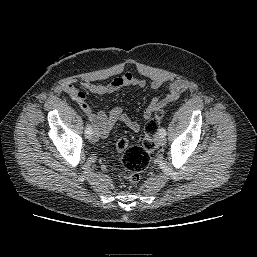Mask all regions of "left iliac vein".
<instances>
[{
	"instance_id": "left-iliac-vein-1",
	"label": "left iliac vein",
	"mask_w": 257,
	"mask_h": 257,
	"mask_svg": "<svg viewBox=\"0 0 257 257\" xmlns=\"http://www.w3.org/2000/svg\"><path fill=\"white\" fill-rule=\"evenodd\" d=\"M157 142L160 146H164L166 144V138L159 134L157 136Z\"/></svg>"
}]
</instances>
